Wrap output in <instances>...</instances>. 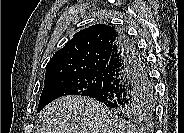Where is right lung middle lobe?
<instances>
[{"mask_svg": "<svg viewBox=\"0 0 184 133\" xmlns=\"http://www.w3.org/2000/svg\"><path fill=\"white\" fill-rule=\"evenodd\" d=\"M103 74H91L76 77H65L53 80L45 84L37 112H40L53 100L66 95H80L94 98L102 87ZM154 92H149L148 97L131 105H108L107 110L111 113L127 115L131 117H148L154 109Z\"/></svg>", "mask_w": 184, "mask_h": 133, "instance_id": "right-lung-middle-lobe-1", "label": "right lung middle lobe"}]
</instances>
